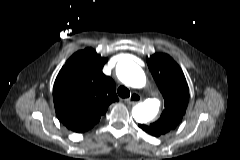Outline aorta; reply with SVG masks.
<instances>
[{
    "instance_id": "obj_1",
    "label": "aorta",
    "mask_w": 240,
    "mask_h": 160,
    "mask_svg": "<svg viewBox=\"0 0 240 160\" xmlns=\"http://www.w3.org/2000/svg\"><path fill=\"white\" fill-rule=\"evenodd\" d=\"M116 74L121 82L132 88H141L145 85L146 79L143 70L132 60H121L116 66ZM159 107L158 99H147L133 107L132 115L136 122L147 123L156 117Z\"/></svg>"
}]
</instances>
